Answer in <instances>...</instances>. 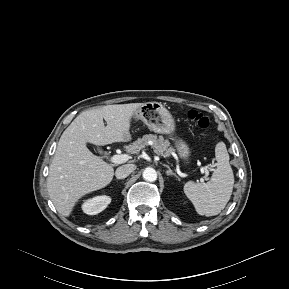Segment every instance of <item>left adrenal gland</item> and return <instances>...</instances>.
<instances>
[{"instance_id": "a2214340", "label": "left adrenal gland", "mask_w": 289, "mask_h": 289, "mask_svg": "<svg viewBox=\"0 0 289 289\" xmlns=\"http://www.w3.org/2000/svg\"><path fill=\"white\" fill-rule=\"evenodd\" d=\"M163 166L168 169L167 175H169V176L173 175V176H175L178 180H180L179 177L176 175V173H174L168 165L164 164Z\"/></svg>"}]
</instances>
